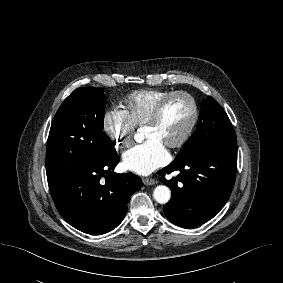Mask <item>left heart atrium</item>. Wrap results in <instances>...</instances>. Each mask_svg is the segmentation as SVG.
<instances>
[{
	"instance_id": "39dd6f15",
	"label": "left heart atrium",
	"mask_w": 283,
	"mask_h": 283,
	"mask_svg": "<svg viewBox=\"0 0 283 283\" xmlns=\"http://www.w3.org/2000/svg\"><path fill=\"white\" fill-rule=\"evenodd\" d=\"M169 159L165 145L154 138L136 145L123 155L125 169L140 175H148L164 165Z\"/></svg>"
}]
</instances>
